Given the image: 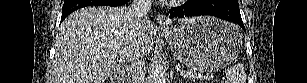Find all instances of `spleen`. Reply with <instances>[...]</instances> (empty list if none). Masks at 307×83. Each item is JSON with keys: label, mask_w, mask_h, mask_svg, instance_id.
Listing matches in <instances>:
<instances>
[{"label": "spleen", "mask_w": 307, "mask_h": 83, "mask_svg": "<svg viewBox=\"0 0 307 83\" xmlns=\"http://www.w3.org/2000/svg\"><path fill=\"white\" fill-rule=\"evenodd\" d=\"M225 83H246V73L243 64L237 63L226 71Z\"/></svg>", "instance_id": "1"}]
</instances>
